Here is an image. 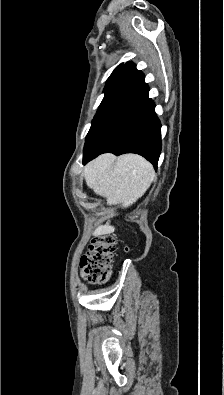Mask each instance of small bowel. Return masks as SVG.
<instances>
[{
    "label": "small bowel",
    "instance_id": "c3829d8e",
    "mask_svg": "<svg viewBox=\"0 0 224 395\" xmlns=\"http://www.w3.org/2000/svg\"><path fill=\"white\" fill-rule=\"evenodd\" d=\"M80 276L84 281H88L90 282L91 280L89 279V277L87 276L86 272L84 271V269L80 270Z\"/></svg>",
    "mask_w": 224,
    "mask_h": 395
}]
</instances>
